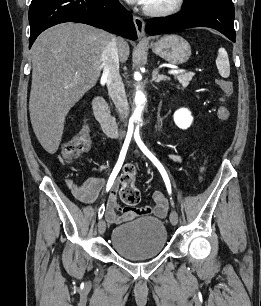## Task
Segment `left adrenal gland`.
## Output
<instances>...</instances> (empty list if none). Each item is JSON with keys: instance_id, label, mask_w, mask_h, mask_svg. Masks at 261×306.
Wrapping results in <instances>:
<instances>
[{"instance_id": "a2214340", "label": "left adrenal gland", "mask_w": 261, "mask_h": 306, "mask_svg": "<svg viewBox=\"0 0 261 306\" xmlns=\"http://www.w3.org/2000/svg\"><path fill=\"white\" fill-rule=\"evenodd\" d=\"M152 79L153 81H155L156 83H160L161 81H166V80H170V78L166 75H159L157 69H155L153 71V74H152Z\"/></svg>"}]
</instances>
